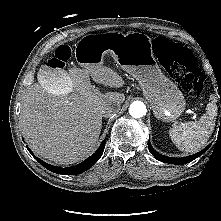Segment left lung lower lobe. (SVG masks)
Masks as SVG:
<instances>
[{
	"mask_svg": "<svg viewBox=\"0 0 221 221\" xmlns=\"http://www.w3.org/2000/svg\"><path fill=\"white\" fill-rule=\"evenodd\" d=\"M210 145H208L202 151H200L196 154H193L191 156L183 157V158H172V157H167V156L157 153L152 148L150 140L148 141V149L157 160L162 161V162H166V163H170V164H179V165L189 163V162L193 161L194 159H196L197 157L201 156L210 147Z\"/></svg>",
	"mask_w": 221,
	"mask_h": 221,
	"instance_id": "obj_1",
	"label": "left lung lower lobe"
}]
</instances>
